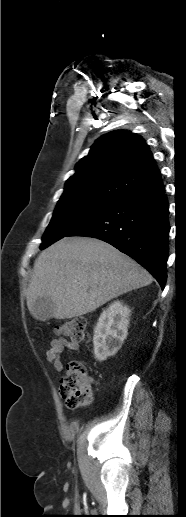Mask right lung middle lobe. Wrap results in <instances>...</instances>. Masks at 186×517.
I'll return each instance as SVG.
<instances>
[{
    "label": "right lung middle lobe",
    "instance_id": "right-lung-middle-lobe-1",
    "mask_svg": "<svg viewBox=\"0 0 186 517\" xmlns=\"http://www.w3.org/2000/svg\"><path fill=\"white\" fill-rule=\"evenodd\" d=\"M118 198L96 195H76L60 198L50 224L44 235L40 249H44L57 240L67 236L77 227L98 215Z\"/></svg>",
    "mask_w": 186,
    "mask_h": 517
}]
</instances>
